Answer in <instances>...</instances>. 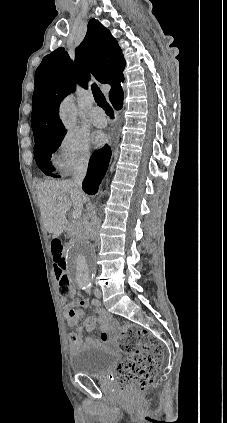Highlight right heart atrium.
Listing matches in <instances>:
<instances>
[{"label": "right heart atrium", "mask_w": 227, "mask_h": 423, "mask_svg": "<svg viewBox=\"0 0 227 423\" xmlns=\"http://www.w3.org/2000/svg\"><path fill=\"white\" fill-rule=\"evenodd\" d=\"M91 157L88 139L77 132H68L58 143L54 163L62 174L69 175L87 169Z\"/></svg>", "instance_id": "d8ad5b80"}]
</instances>
